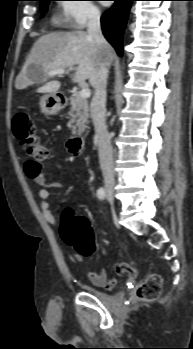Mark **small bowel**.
I'll return each instance as SVG.
<instances>
[{
    "mask_svg": "<svg viewBox=\"0 0 193 349\" xmlns=\"http://www.w3.org/2000/svg\"><path fill=\"white\" fill-rule=\"evenodd\" d=\"M25 172L27 174V176L31 179H33L38 185L41 186L39 192H38V196H39V205H40V209L42 212V215L44 217V219L49 222L51 225H56V219L54 216V212L52 209V206L50 204L49 201V197H50V191H49V186L47 183V179L45 174L43 173L42 169H41V165H36L35 163L32 162H25ZM52 187L55 188H60L57 184L52 183L51 184ZM75 258L79 261L82 260V256L77 254L75 255ZM115 271L118 274H127V275H134L135 274V269L129 266L126 267H116ZM88 277L91 281V283L94 286L97 287H104V288H112L115 284H116V280H108V274L106 272V270L101 269L98 271H91L88 273Z\"/></svg>",
    "mask_w": 193,
    "mask_h": 349,
    "instance_id": "obj_1",
    "label": "small bowel"
}]
</instances>
